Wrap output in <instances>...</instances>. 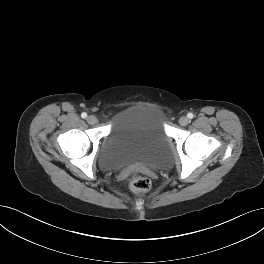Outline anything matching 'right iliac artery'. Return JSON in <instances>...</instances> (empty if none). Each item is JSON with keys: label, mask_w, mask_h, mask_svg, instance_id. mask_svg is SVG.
I'll return each mask as SVG.
<instances>
[{"label": "right iliac artery", "mask_w": 264, "mask_h": 264, "mask_svg": "<svg viewBox=\"0 0 264 264\" xmlns=\"http://www.w3.org/2000/svg\"><path fill=\"white\" fill-rule=\"evenodd\" d=\"M81 117H82V118H86V117H87V113L83 112V113L81 114Z\"/></svg>", "instance_id": "obj_1"}]
</instances>
